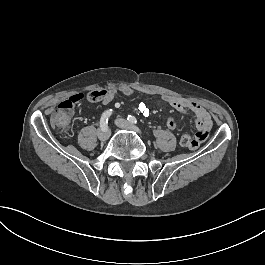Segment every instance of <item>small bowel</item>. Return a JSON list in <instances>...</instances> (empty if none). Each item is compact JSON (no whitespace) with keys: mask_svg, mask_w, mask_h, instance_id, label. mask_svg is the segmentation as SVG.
Segmentation results:
<instances>
[{"mask_svg":"<svg viewBox=\"0 0 265 265\" xmlns=\"http://www.w3.org/2000/svg\"><path fill=\"white\" fill-rule=\"evenodd\" d=\"M117 94L152 95L153 91L146 88L133 86L112 87L106 92L104 102L110 103ZM161 98L164 103L168 104L178 112L183 113L185 115H190L194 119L197 132L195 135L196 140L192 141L191 146L195 150L200 149V142H203L208 138L212 126V120L208 111L199 103L188 98L167 94L162 95ZM166 127L171 131H175L177 129V123L173 118L170 117L166 120Z\"/></svg>","mask_w":265,"mask_h":265,"instance_id":"1","label":"small bowel"}]
</instances>
